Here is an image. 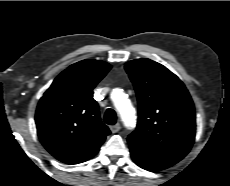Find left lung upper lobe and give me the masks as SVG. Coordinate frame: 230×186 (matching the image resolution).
Returning <instances> with one entry per match:
<instances>
[{
  "label": "left lung upper lobe",
  "instance_id": "obj_1",
  "mask_svg": "<svg viewBox=\"0 0 230 186\" xmlns=\"http://www.w3.org/2000/svg\"><path fill=\"white\" fill-rule=\"evenodd\" d=\"M136 90L139 120L130 146L181 160L191 149L196 131L193 101L182 81L150 59L125 64Z\"/></svg>",
  "mask_w": 230,
  "mask_h": 186
}]
</instances>
